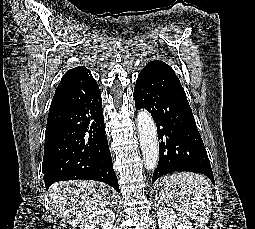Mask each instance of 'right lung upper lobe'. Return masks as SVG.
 <instances>
[{"instance_id":"1","label":"right lung upper lobe","mask_w":255,"mask_h":229,"mask_svg":"<svg viewBox=\"0 0 255 229\" xmlns=\"http://www.w3.org/2000/svg\"><path fill=\"white\" fill-rule=\"evenodd\" d=\"M83 69H85V67H76L67 71L63 76L62 80L60 81L54 96L58 95L62 91L64 82H66L70 76L82 71Z\"/></svg>"}]
</instances>
